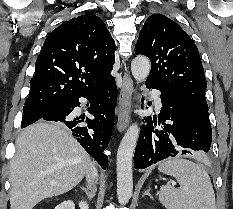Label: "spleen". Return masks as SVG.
<instances>
[{
    "label": "spleen",
    "instance_id": "obj_1",
    "mask_svg": "<svg viewBox=\"0 0 233 209\" xmlns=\"http://www.w3.org/2000/svg\"><path fill=\"white\" fill-rule=\"evenodd\" d=\"M158 170L174 176L180 184L178 189L161 186L159 201L166 209H216L210 177L201 165L173 158L162 162Z\"/></svg>",
    "mask_w": 233,
    "mask_h": 209
}]
</instances>
